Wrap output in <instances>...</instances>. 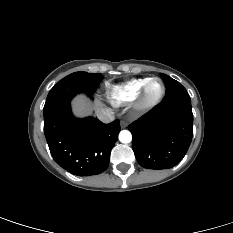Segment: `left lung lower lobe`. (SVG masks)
Masks as SVG:
<instances>
[{
    "mask_svg": "<svg viewBox=\"0 0 233 233\" xmlns=\"http://www.w3.org/2000/svg\"><path fill=\"white\" fill-rule=\"evenodd\" d=\"M138 163L148 169H169L185 156L193 137L191 100L181 85L128 126Z\"/></svg>",
    "mask_w": 233,
    "mask_h": 233,
    "instance_id": "obj_1",
    "label": "left lung lower lobe"
}]
</instances>
